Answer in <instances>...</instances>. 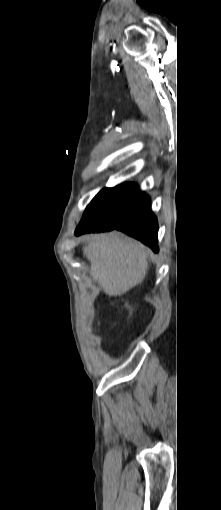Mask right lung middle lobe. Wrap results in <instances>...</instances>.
I'll use <instances>...</instances> for the list:
<instances>
[{"instance_id": "obj_1", "label": "right lung middle lobe", "mask_w": 221, "mask_h": 510, "mask_svg": "<svg viewBox=\"0 0 221 510\" xmlns=\"http://www.w3.org/2000/svg\"><path fill=\"white\" fill-rule=\"evenodd\" d=\"M134 189L133 183H125L114 188H104L89 204L90 208L103 218L119 219Z\"/></svg>"}]
</instances>
